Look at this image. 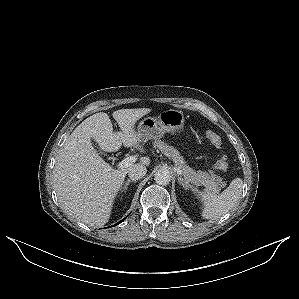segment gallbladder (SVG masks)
<instances>
[{
  "mask_svg": "<svg viewBox=\"0 0 299 299\" xmlns=\"http://www.w3.org/2000/svg\"><path fill=\"white\" fill-rule=\"evenodd\" d=\"M92 144L96 150L101 151L99 145L94 140H92Z\"/></svg>",
  "mask_w": 299,
  "mask_h": 299,
  "instance_id": "1",
  "label": "gallbladder"
}]
</instances>
